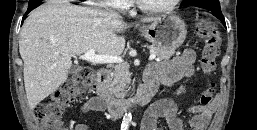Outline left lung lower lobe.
I'll return each mask as SVG.
<instances>
[{"label": "left lung lower lobe", "mask_w": 257, "mask_h": 130, "mask_svg": "<svg viewBox=\"0 0 257 130\" xmlns=\"http://www.w3.org/2000/svg\"><path fill=\"white\" fill-rule=\"evenodd\" d=\"M203 8L210 10L214 16L218 17L225 24V19L221 12L220 5L205 4Z\"/></svg>", "instance_id": "1"}]
</instances>
